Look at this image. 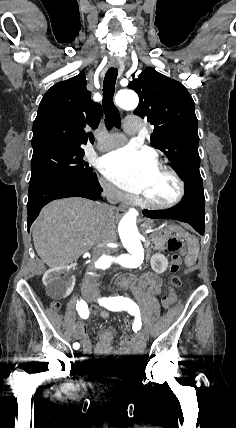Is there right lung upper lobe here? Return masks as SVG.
<instances>
[{"mask_svg":"<svg viewBox=\"0 0 236 428\" xmlns=\"http://www.w3.org/2000/svg\"><path fill=\"white\" fill-rule=\"evenodd\" d=\"M102 107L91 100L85 73L53 85L43 96L33 123V149L47 144L87 143L94 140L85 127L97 128Z\"/></svg>","mask_w":236,"mask_h":428,"instance_id":"cb5924a9","label":"right lung upper lobe"}]
</instances>
